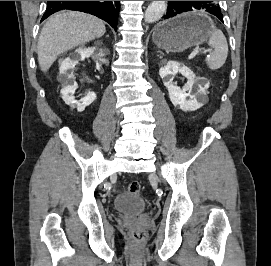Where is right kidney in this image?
Instances as JSON below:
<instances>
[{
    "label": "right kidney",
    "mask_w": 271,
    "mask_h": 266,
    "mask_svg": "<svg viewBox=\"0 0 271 266\" xmlns=\"http://www.w3.org/2000/svg\"><path fill=\"white\" fill-rule=\"evenodd\" d=\"M103 56V50L97 46L88 48L82 46L76 49L69 57L64 59L60 65L59 80L62 82V99L72 108H77L78 112L84 111L85 108L96 99V94L94 92H89L84 98L76 100L74 93L78 86L75 81V75L73 72L68 73L67 71L73 69L79 60H84L88 57H92L96 61L97 68H100L101 63L104 61Z\"/></svg>",
    "instance_id": "obj_1"
}]
</instances>
